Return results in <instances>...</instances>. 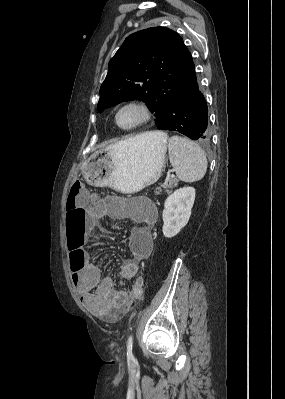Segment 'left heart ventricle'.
Here are the masks:
<instances>
[{
    "mask_svg": "<svg viewBox=\"0 0 285 399\" xmlns=\"http://www.w3.org/2000/svg\"><path fill=\"white\" fill-rule=\"evenodd\" d=\"M141 118V114L137 109L129 108L124 110L119 116V123L128 127L136 123Z\"/></svg>",
    "mask_w": 285,
    "mask_h": 399,
    "instance_id": "1",
    "label": "left heart ventricle"
}]
</instances>
